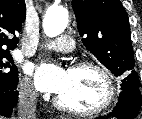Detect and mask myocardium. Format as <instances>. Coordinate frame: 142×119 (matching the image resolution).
Returning a JSON list of instances; mask_svg holds the SVG:
<instances>
[{
	"label": "myocardium",
	"instance_id": "f54148a6",
	"mask_svg": "<svg viewBox=\"0 0 142 119\" xmlns=\"http://www.w3.org/2000/svg\"><path fill=\"white\" fill-rule=\"evenodd\" d=\"M86 69L95 70L102 77L104 81L105 93L101 103L95 108L81 110L65 104L64 102H62L60 97L57 96L54 101L57 108L65 112H68L70 114L78 116H94L104 112L112 105L116 94V88H115V82L110 72L101 64L92 61L78 62L75 65H73L71 68V70H86Z\"/></svg>",
	"mask_w": 142,
	"mask_h": 119
}]
</instances>
